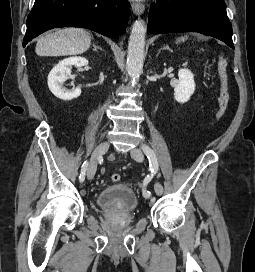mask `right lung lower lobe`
<instances>
[{"instance_id": "1", "label": "right lung lower lobe", "mask_w": 255, "mask_h": 272, "mask_svg": "<svg viewBox=\"0 0 255 272\" xmlns=\"http://www.w3.org/2000/svg\"><path fill=\"white\" fill-rule=\"evenodd\" d=\"M129 16L127 0H35L27 17L23 46L60 27L87 28L114 38L125 32Z\"/></svg>"}]
</instances>
